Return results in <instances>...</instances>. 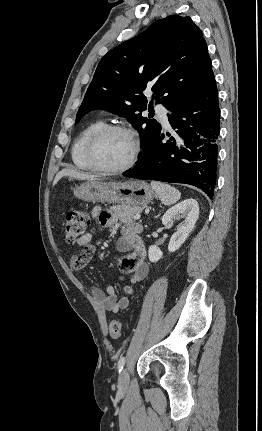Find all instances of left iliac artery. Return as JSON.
<instances>
[{"instance_id":"44dca946","label":"left iliac artery","mask_w":262,"mask_h":431,"mask_svg":"<svg viewBox=\"0 0 262 431\" xmlns=\"http://www.w3.org/2000/svg\"><path fill=\"white\" fill-rule=\"evenodd\" d=\"M125 365V357H121L118 361V370L119 372L123 369Z\"/></svg>"}]
</instances>
